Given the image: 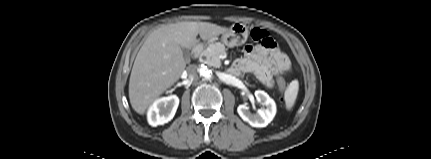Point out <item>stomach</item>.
I'll return each instance as SVG.
<instances>
[{
    "label": "stomach",
    "instance_id": "stomach-1",
    "mask_svg": "<svg viewBox=\"0 0 431 159\" xmlns=\"http://www.w3.org/2000/svg\"><path fill=\"white\" fill-rule=\"evenodd\" d=\"M247 37V27L242 23H236L233 24L226 32L221 34L220 40L224 45L232 48L244 44L247 40Z\"/></svg>",
    "mask_w": 431,
    "mask_h": 159
}]
</instances>
